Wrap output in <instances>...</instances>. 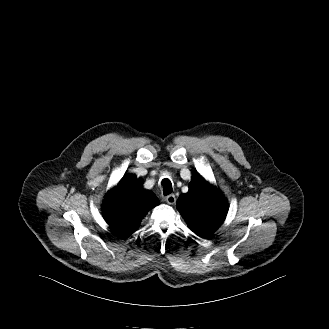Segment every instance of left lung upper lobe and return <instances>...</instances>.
<instances>
[{"mask_svg": "<svg viewBox=\"0 0 329 329\" xmlns=\"http://www.w3.org/2000/svg\"><path fill=\"white\" fill-rule=\"evenodd\" d=\"M177 209L194 233L207 238L223 223L228 204L216 187L195 172L189 191L177 201Z\"/></svg>", "mask_w": 329, "mask_h": 329, "instance_id": "1", "label": "left lung upper lobe"}]
</instances>
